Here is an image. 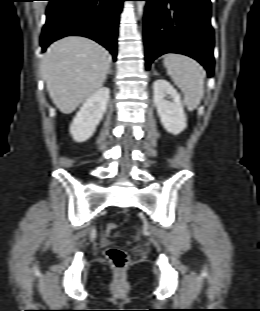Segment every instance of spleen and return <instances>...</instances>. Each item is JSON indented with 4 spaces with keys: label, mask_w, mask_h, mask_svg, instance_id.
I'll return each instance as SVG.
<instances>
[{
    "label": "spleen",
    "mask_w": 260,
    "mask_h": 311,
    "mask_svg": "<svg viewBox=\"0 0 260 311\" xmlns=\"http://www.w3.org/2000/svg\"><path fill=\"white\" fill-rule=\"evenodd\" d=\"M164 65L174 83L184 94V104L193 111L200 104L204 93V72L194 59L181 54H168Z\"/></svg>",
    "instance_id": "obj_1"
}]
</instances>
